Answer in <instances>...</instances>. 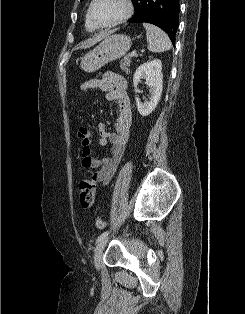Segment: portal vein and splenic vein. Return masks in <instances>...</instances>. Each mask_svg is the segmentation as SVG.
<instances>
[{
	"instance_id": "18ae733b",
	"label": "portal vein and splenic vein",
	"mask_w": 245,
	"mask_h": 314,
	"mask_svg": "<svg viewBox=\"0 0 245 314\" xmlns=\"http://www.w3.org/2000/svg\"><path fill=\"white\" fill-rule=\"evenodd\" d=\"M137 55V51L136 50H133L131 53H130V57H135Z\"/></svg>"
}]
</instances>
